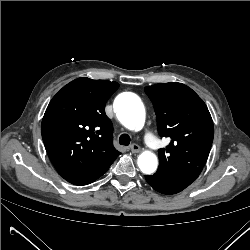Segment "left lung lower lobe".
Instances as JSON below:
<instances>
[{"mask_svg": "<svg viewBox=\"0 0 250 250\" xmlns=\"http://www.w3.org/2000/svg\"><path fill=\"white\" fill-rule=\"evenodd\" d=\"M199 167L183 169L158 168L154 175H146L145 179L156 191L171 195L184 190L201 172Z\"/></svg>", "mask_w": 250, "mask_h": 250, "instance_id": "left-lung-lower-lobe-1", "label": "left lung lower lobe"}]
</instances>
